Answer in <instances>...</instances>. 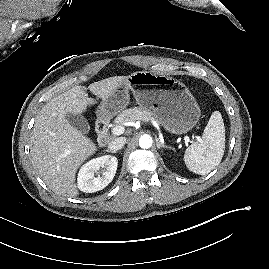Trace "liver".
I'll use <instances>...</instances> for the list:
<instances>
[{"label": "liver", "instance_id": "obj_1", "mask_svg": "<svg viewBox=\"0 0 269 269\" xmlns=\"http://www.w3.org/2000/svg\"><path fill=\"white\" fill-rule=\"evenodd\" d=\"M127 77H109L91 83L88 88L76 86L42 107L32 131L31 156L39 176L56 194L67 197L79 194L75 183L77 169L97 150L90 138L70 125L66 114H81L96 103L88 97L87 89L105 100Z\"/></svg>", "mask_w": 269, "mask_h": 269}]
</instances>
